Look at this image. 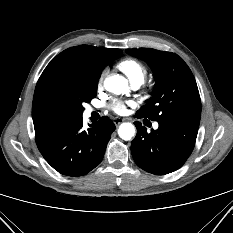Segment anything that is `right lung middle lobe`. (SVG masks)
I'll use <instances>...</instances> for the list:
<instances>
[{"label": "right lung middle lobe", "instance_id": "dd1d6c3e", "mask_svg": "<svg viewBox=\"0 0 233 233\" xmlns=\"http://www.w3.org/2000/svg\"><path fill=\"white\" fill-rule=\"evenodd\" d=\"M121 51H115L104 66L109 65L120 57ZM98 78L76 77L62 89V98L70 106L73 117H81L84 107L82 103H89L96 96Z\"/></svg>", "mask_w": 233, "mask_h": 233}]
</instances>
